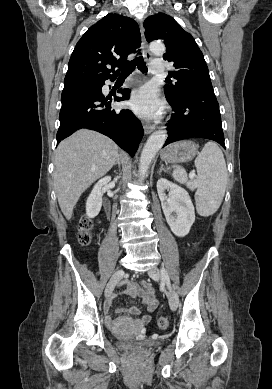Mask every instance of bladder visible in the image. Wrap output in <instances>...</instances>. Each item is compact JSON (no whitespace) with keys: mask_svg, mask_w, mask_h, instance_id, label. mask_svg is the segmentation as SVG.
Wrapping results in <instances>:
<instances>
[{"mask_svg":"<svg viewBox=\"0 0 272 389\" xmlns=\"http://www.w3.org/2000/svg\"><path fill=\"white\" fill-rule=\"evenodd\" d=\"M114 336H117V333H112ZM118 345L124 350H133L137 348H149L154 345L151 342H135L130 339H121L117 340Z\"/></svg>","mask_w":272,"mask_h":389,"instance_id":"obj_1","label":"bladder"}]
</instances>
